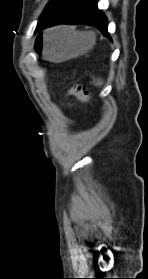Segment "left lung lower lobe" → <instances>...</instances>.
<instances>
[{
  "mask_svg": "<svg viewBox=\"0 0 148 279\" xmlns=\"http://www.w3.org/2000/svg\"><path fill=\"white\" fill-rule=\"evenodd\" d=\"M59 24H86L98 28L106 37L108 22L105 15L98 10L97 0H65L48 17L42 20L35 32Z\"/></svg>",
  "mask_w": 148,
  "mask_h": 279,
  "instance_id": "1",
  "label": "left lung lower lobe"
}]
</instances>
